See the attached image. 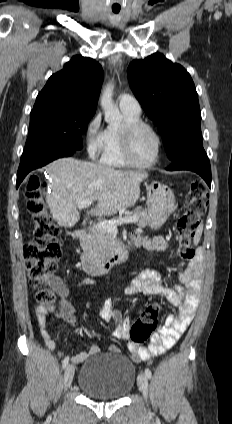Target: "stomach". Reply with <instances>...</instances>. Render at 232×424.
<instances>
[{
    "label": "stomach",
    "mask_w": 232,
    "mask_h": 424,
    "mask_svg": "<svg viewBox=\"0 0 232 424\" xmlns=\"http://www.w3.org/2000/svg\"><path fill=\"white\" fill-rule=\"evenodd\" d=\"M146 189L150 226L157 229L176 210L175 196L167 185L158 181H152Z\"/></svg>",
    "instance_id": "1"
}]
</instances>
